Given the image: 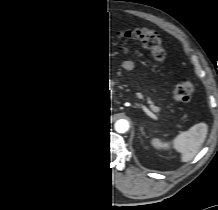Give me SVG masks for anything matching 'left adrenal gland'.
<instances>
[{"label": "left adrenal gland", "instance_id": "obj_1", "mask_svg": "<svg viewBox=\"0 0 218 210\" xmlns=\"http://www.w3.org/2000/svg\"><path fill=\"white\" fill-rule=\"evenodd\" d=\"M140 131L142 134H144L143 127H140Z\"/></svg>", "mask_w": 218, "mask_h": 210}]
</instances>
